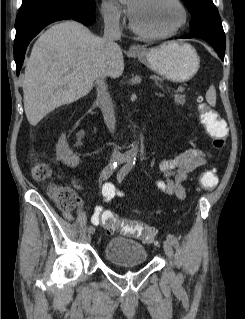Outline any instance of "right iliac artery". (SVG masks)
I'll use <instances>...</instances> for the list:
<instances>
[{"label": "right iliac artery", "instance_id": "obj_1", "mask_svg": "<svg viewBox=\"0 0 245 319\" xmlns=\"http://www.w3.org/2000/svg\"><path fill=\"white\" fill-rule=\"evenodd\" d=\"M126 161H128V157H121L118 161L113 162L108 164L107 166H105L101 172V179L102 180H107L114 172V170L116 169V167L121 164V163H125ZM108 187L109 184L105 183L102 187V193L103 195L107 194L108 191ZM109 194V193H108ZM88 232L89 233H93L94 232V227L90 226L88 227Z\"/></svg>", "mask_w": 245, "mask_h": 319}]
</instances>
